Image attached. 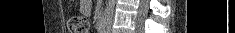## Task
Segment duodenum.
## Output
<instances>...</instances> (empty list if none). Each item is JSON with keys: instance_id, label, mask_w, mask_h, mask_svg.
<instances>
[{"instance_id": "obj_1", "label": "duodenum", "mask_w": 235, "mask_h": 33, "mask_svg": "<svg viewBox=\"0 0 235 33\" xmlns=\"http://www.w3.org/2000/svg\"><path fill=\"white\" fill-rule=\"evenodd\" d=\"M103 27H104L103 17L99 16V18H98V29H99L100 32H102Z\"/></svg>"}]
</instances>
